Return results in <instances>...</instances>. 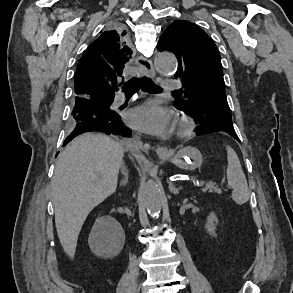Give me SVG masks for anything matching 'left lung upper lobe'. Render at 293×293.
Instances as JSON below:
<instances>
[{"label":"left lung upper lobe","instance_id":"left-lung-upper-lobe-1","mask_svg":"<svg viewBox=\"0 0 293 293\" xmlns=\"http://www.w3.org/2000/svg\"><path fill=\"white\" fill-rule=\"evenodd\" d=\"M160 51L173 52L178 60L175 78L182 83L179 110L204 125H233L225 94L220 53L213 40L197 25L185 20L170 24L159 39Z\"/></svg>","mask_w":293,"mask_h":293}]
</instances>
